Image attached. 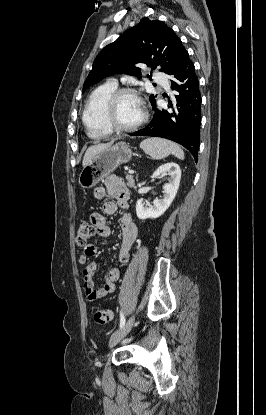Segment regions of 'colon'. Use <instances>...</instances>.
I'll use <instances>...</instances> for the list:
<instances>
[{"mask_svg":"<svg viewBox=\"0 0 266 415\" xmlns=\"http://www.w3.org/2000/svg\"><path fill=\"white\" fill-rule=\"evenodd\" d=\"M95 227L88 222H81L77 229L76 242L79 246H86L95 234ZM93 320L98 324H106L111 320L112 314L107 309H94Z\"/></svg>","mask_w":266,"mask_h":415,"instance_id":"1","label":"colon"}]
</instances>
